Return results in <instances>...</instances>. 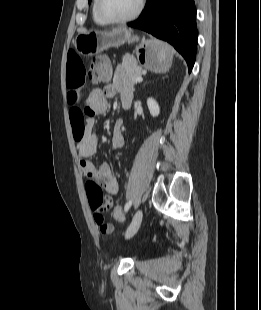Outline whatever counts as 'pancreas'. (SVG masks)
Masks as SVG:
<instances>
[{
    "label": "pancreas",
    "instance_id": "1",
    "mask_svg": "<svg viewBox=\"0 0 261 310\" xmlns=\"http://www.w3.org/2000/svg\"><path fill=\"white\" fill-rule=\"evenodd\" d=\"M123 72V81L126 85L133 86L137 82L133 79L141 77L142 68L137 64L134 58L129 55H125L122 61Z\"/></svg>",
    "mask_w": 261,
    "mask_h": 310
}]
</instances>
